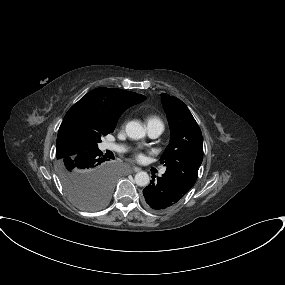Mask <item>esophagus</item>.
Segmentation results:
<instances>
[{
	"instance_id": "esophagus-1",
	"label": "esophagus",
	"mask_w": 285,
	"mask_h": 285,
	"mask_svg": "<svg viewBox=\"0 0 285 285\" xmlns=\"http://www.w3.org/2000/svg\"><path fill=\"white\" fill-rule=\"evenodd\" d=\"M133 170H134V172H139V171H141V168H139V167H133Z\"/></svg>"
}]
</instances>
